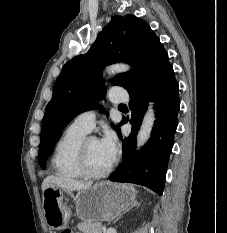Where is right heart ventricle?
<instances>
[{"label": "right heart ventricle", "instance_id": "obj_1", "mask_svg": "<svg viewBox=\"0 0 227 233\" xmlns=\"http://www.w3.org/2000/svg\"><path fill=\"white\" fill-rule=\"evenodd\" d=\"M86 132L69 126L57 142L52 156V167L65 179H79L83 175L77 165V153Z\"/></svg>", "mask_w": 227, "mask_h": 233}]
</instances>
